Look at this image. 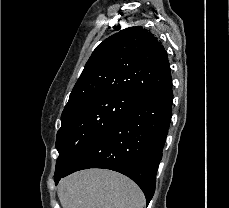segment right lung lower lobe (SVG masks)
Instances as JSON below:
<instances>
[{"mask_svg": "<svg viewBox=\"0 0 229 208\" xmlns=\"http://www.w3.org/2000/svg\"><path fill=\"white\" fill-rule=\"evenodd\" d=\"M172 82L141 100L112 126L91 140L62 177L88 168H105L131 178L145 194L155 192L156 173L172 116Z\"/></svg>", "mask_w": 229, "mask_h": 208, "instance_id": "obj_1", "label": "right lung lower lobe"}]
</instances>
